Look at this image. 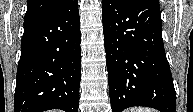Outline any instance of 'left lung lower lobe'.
<instances>
[{
    "mask_svg": "<svg viewBox=\"0 0 193 112\" xmlns=\"http://www.w3.org/2000/svg\"><path fill=\"white\" fill-rule=\"evenodd\" d=\"M112 112L132 106L175 112L158 0H102Z\"/></svg>",
    "mask_w": 193,
    "mask_h": 112,
    "instance_id": "obj_1",
    "label": "left lung lower lobe"
}]
</instances>
